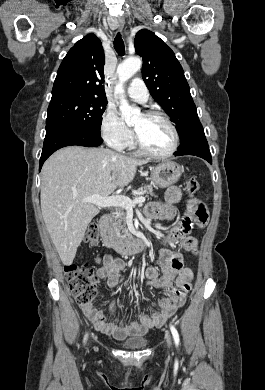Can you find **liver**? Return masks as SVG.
I'll use <instances>...</instances> for the list:
<instances>
[{"label":"liver","instance_id":"6515ba94","mask_svg":"<svg viewBox=\"0 0 265 390\" xmlns=\"http://www.w3.org/2000/svg\"><path fill=\"white\" fill-rule=\"evenodd\" d=\"M146 160L130 158L105 148L68 146L44 163L41 181V210L46 228L62 263L71 265L87 226L99 213L84 198L106 197L128 185L137 166Z\"/></svg>","mask_w":265,"mask_h":390}]
</instances>
